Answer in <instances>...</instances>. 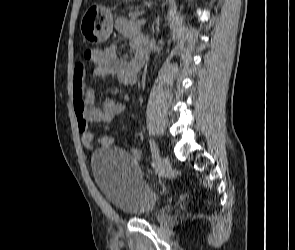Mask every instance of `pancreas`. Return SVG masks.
Instances as JSON below:
<instances>
[{"label":"pancreas","mask_w":295,"mask_h":250,"mask_svg":"<svg viewBox=\"0 0 295 250\" xmlns=\"http://www.w3.org/2000/svg\"><path fill=\"white\" fill-rule=\"evenodd\" d=\"M141 15V13L139 11H134V12H130L129 13V18L131 20V22L133 23L134 26L136 27H139V24H138V20H137V17Z\"/></svg>","instance_id":"1"}]
</instances>
